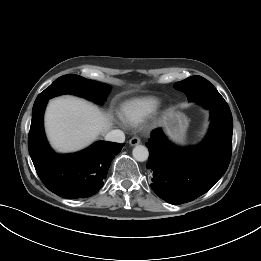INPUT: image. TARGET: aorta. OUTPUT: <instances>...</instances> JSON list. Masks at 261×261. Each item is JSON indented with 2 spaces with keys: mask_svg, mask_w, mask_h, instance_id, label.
I'll use <instances>...</instances> for the list:
<instances>
[{
  "mask_svg": "<svg viewBox=\"0 0 261 261\" xmlns=\"http://www.w3.org/2000/svg\"><path fill=\"white\" fill-rule=\"evenodd\" d=\"M133 157L139 162H144L148 159L149 152L147 147L143 145H136L132 151Z\"/></svg>",
  "mask_w": 261,
  "mask_h": 261,
  "instance_id": "obj_1",
  "label": "aorta"
}]
</instances>
